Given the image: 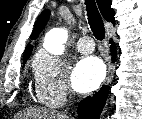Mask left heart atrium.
Returning a JSON list of instances; mask_svg holds the SVG:
<instances>
[{"label": "left heart atrium", "mask_w": 142, "mask_h": 119, "mask_svg": "<svg viewBox=\"0 0 142 119\" xmlns=\"http://www.w3.org/2000/svg\"><path fill=\"white\" fill-rule=\"evenodd\" d=\"M105 77V67L96 57L81 59L72 74V84L76 91L88 93L95 90Z\"/></svg>", "instance_id": "left-heart-atrium-1"}]
</instances>
